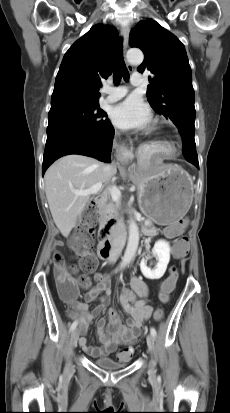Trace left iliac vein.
Returning a JSON list of instances; mask_svg holds the SVG:
<instances>
[{
    "label": "left iliac vein",
    "instance_id": "1",
    "mask_svg": "<svg viewBox=\"0 0 230 413\" xmlns=\"http://www.w3.org/2000/svg\"><path fill=\"white\" fill-rule=\"evenodd\" d=\"M146 340H147V345H148V348H149L150 352H153L154 351V344H155L154 336L152 334H148ZM149 373H150V375L155 374V361L154 360H152L151 363H150Z\"/></svg>",
    "mask_w": 230,
    "mask_h": 413
}]
</instances>
